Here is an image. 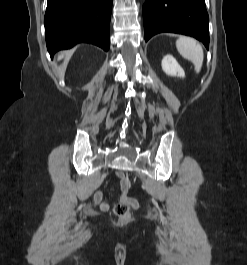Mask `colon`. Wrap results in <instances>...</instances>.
<instances>
[{
    "label": "colon",
    "mask_w": 247,
    "mask_h": 265,
    "mask_svg": "<svg viewBox=\"0 0 247 265\" xmlns=\"http://www.w3.org/2000/svg\"><path fill=\"white\" fill-rule=\"evenodd\" d=\"M118 177L120 179L121 189L128 191L131 186L129 178L123 173H119ZM113 212L119 221L126 222L129 219L130 204L127 201H120L114 206Z\"/></svg>",
    "instance_id": "colon-1"
}]
</instances>
